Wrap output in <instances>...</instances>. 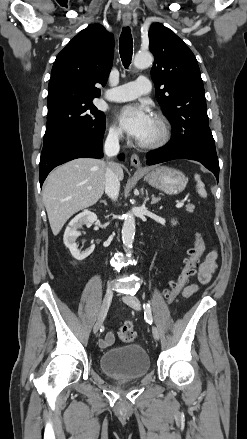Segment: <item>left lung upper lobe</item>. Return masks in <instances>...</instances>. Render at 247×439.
<instances>
[{
	"mask_svg": "<svg viewBox=\"0 0 247 439\" xmlns=\"http://www.w3.org/2000/svg\"><path fill=\"white\" fill-rule=\"evenodd\" d=\"M149 49L154 55L151 77L157 100L172 125L180 147L206 154L218 162L208 125L204 86L192 51L169 28L151 25Z\"/></svg>",
	"mask_w": 247,
	"mask_h": 439,
	"instance_id": "obj_1",
	"label": "left lung upper lobe"
}]
</instances>
